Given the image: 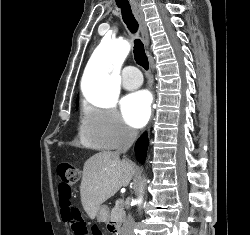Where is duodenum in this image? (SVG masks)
I'll return each mask as SVG.
<instances>
[{
    "label": "duodenum",
    "instance_id": "duodenum-1",
    "mask_svg": "<svg viewBox=\"0 0 250 235\" xmlns=\"http://www.w3.org/2000/svg\"><path fill=\"white\" fill-rule=\"evenodd\" d=\"M110 233L112 235H120L119 230L115 226H113V227L110 228Z\"/></svg>",
    "mask_w": 250,
    "mask_h": 235
}]
</instances>
